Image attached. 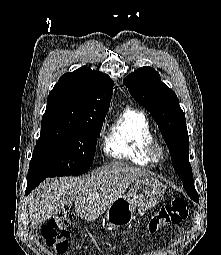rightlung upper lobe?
<instances>
[{
  "mask_svg": "<svg viewBox=\"0 0 221 255\" xmlns=\"http://www.w3.org/2000/svg\"><path fill=\"white\" fill-rule=\"evenodd\" d=\"M114 82L88 67L66 73L50 91L43 119L88 121L108 111Z\"/></svg>",
  "mask_w": 221,
  "mask_h": 255,
  "instance_id": "cb5924a9",
  "label": "right lung upper lobe"
}]
</instances>
